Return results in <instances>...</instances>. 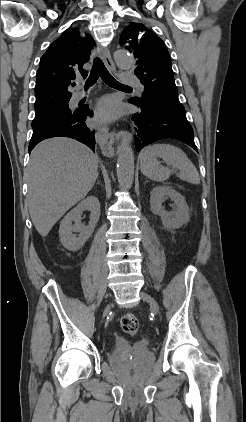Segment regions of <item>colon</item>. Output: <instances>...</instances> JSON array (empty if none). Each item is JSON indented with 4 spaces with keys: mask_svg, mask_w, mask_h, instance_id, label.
Segmentation results:
<instances>
[{
    "mask_svg": "<svg viewBox=\"0 0 246 422\" xmlns=\"http://www.w3.org/2000/svg\"><path fill=\"white\" fill-rule=\"evenodd\" d=\"M139 320L133 314H125L120 319L122 330L129 335H135L139 329Z\"/></svg>",
    "mask_w": 246,
    "mask_h": 422,
    "instance_id": "colon-1",
    "label": "colon"
}]
</instances>
